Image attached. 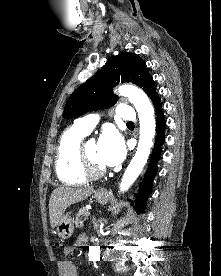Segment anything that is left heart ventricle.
<instances>
[{"instance_id": "b2bd125f", "label": "left heart ventricle", "mask_w": 221, "mask_h": 276, "mask_svg": "<svg viewBox=\"0 0 221 276\" xmlns=\"http://www.w3.org/2000/svg\"><path fill=\"white\" fill-rule=\"evenodd\" d=\"M86 152L91 159V161L94 163V165L98 168H105V165L101 163V161L98 158V145L95 142H87L86 144Z\"/></svg>"}]
</instances>
